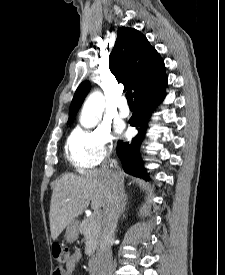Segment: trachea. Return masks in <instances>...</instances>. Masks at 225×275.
I'll return each instance as SVG.
<instances>
[{
  "instance_id": "1",
  "label": "trachea",
  "mask_w": 225,
  "mask_h": 275,
  "mask_svg": "<svg viewBox=\"0 0 225 275\" xmlns=\"http://www.w3.org/2000/svg\"><path fill=\"white\" fill-rule=\"evenodd\" d=\"M126 98L129 105H134L132 91L126 93Z\"/></svg>"
}]
</instances>
